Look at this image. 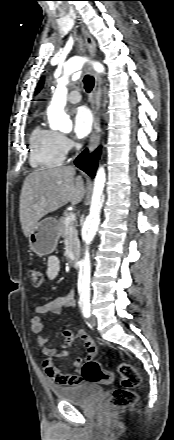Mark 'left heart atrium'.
<instances>
[{
  "instance_id": "39dd6f15",
  "label": "left heart atrium",
  "mask_w": 174,
  "mask_h": 440,
  "mask_svg": "<svg viewBox=\"0 0 174 440\" xmlns=\"http://www.w3.org/2000/svg\"><path fill=\"white\" fill-rule=\"evenodd\" d=\"M93 116L87 107H79L73 116V132L77 139L85 138L91 131Z\"/></svg>"
}]
</instances>
